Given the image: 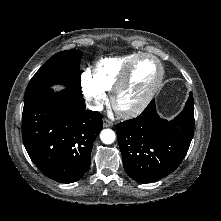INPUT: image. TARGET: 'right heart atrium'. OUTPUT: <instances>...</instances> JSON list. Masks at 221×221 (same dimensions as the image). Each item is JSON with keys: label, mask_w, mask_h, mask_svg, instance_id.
Returning a JSON list of instances; mask_svg holds the SVG:
<instances>
[{"label": "right heart atrium", "mask_w": 221, "mask_h": 221, "mask_svg": "<svg viewBox=\"0 0 221 221\" xmlns=\"http://www.w3.org/2000/svg\"><path fill=\"white\" fill-rule=\"evenodd\" d=\"M81 86L83 95L92 109H98L106 100L105 90L95 81L90 71L81 75Z\"/></svg>", "instance_id": "obj_1"}]
</instances>
